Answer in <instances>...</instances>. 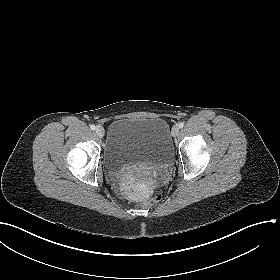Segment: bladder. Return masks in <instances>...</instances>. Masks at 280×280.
I'll return each mask as SVG.
<instances>
[{"label":"bladder","instance_id":"31cf9c89","mask_svg":"<svg viewBox=\"0 0 280 280\" xmlns=\"http://www.w3.org/2000/svg\"><path fill=\"white\" fill-rule=\"evenodd\" d=\"M173 154L169 126L159 117H124L107 131L103 152L105 169L111 172L138 163L162 164Z\"/></svg>","mask_w":280,"mask_h":280}]
</instances>
